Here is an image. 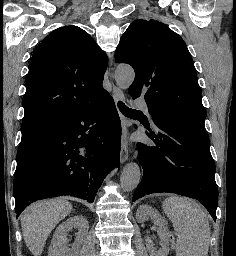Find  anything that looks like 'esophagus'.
<instances>
[{
  "mask_svg": "<svg viewBox=\"0 0 236 256\" xmlns=\"http://www.w3.org/2000/svg\"><path fill=\"white\" fill-rule=\"evenodd\" d=\"M113 99L115 103L119 100H124V94L120 88H118L116 85H113ZM119 116L121 118V127H122V136H121V153H120V161L121 163H125L128 159V121L126 120L125 116L122 115L121 112H119Z\"/></svg>",
  "mask_w": 236,
  "mask_h": 256,
  "instance_id": "34e87169",
  "label": "esophagus"
}]
</instances>
